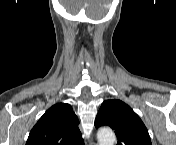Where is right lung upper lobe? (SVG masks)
<instances>
[{
  "mask_svg": "<svg viewBox=\"0 0 176 145\" xmlns=\"http://www.w3.org/2000/svg\"><path fill=\"white\" fill-rule=\"evenodd\" d=\"M78 124L69 104H55L32 128L26 145H79L82 139Z\"/></svg>",
  "mask_w": 176,
  "mask_h": 145,
  "instance_id": "obj_1",
  "label": "right lung upper lobe"
}]
</instances>
